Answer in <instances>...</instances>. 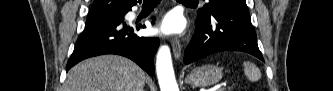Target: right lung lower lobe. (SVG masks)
Returning <instances> with one entry per match:
<instances>
[{"mask_svg":"<svg viewBox=\"0 0 333 91\" xmlns=\"http://www.w3.org/2000/svg\"><path fill=\"white\" fill-rule=\"evenodd\" d=\"M127 12L121 15L89 17L68 61L66 71L86 58L117 54L130 58L153 76V59L160 41L158 38L139 37L134 34L136 29L145 26L126 24L124 16Z\"/></svg>","mask_w":333,"mask_h":91,"instance_id":"obj_1","label":"right lung lower lobe"}]
</instances>
